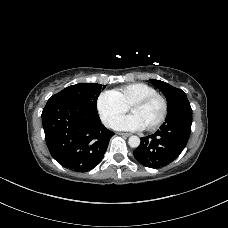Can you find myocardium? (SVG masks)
Masks as SVG:
<instances>
[{"mask_svg":"<svg viewBox=\"0 0 228 228\" xmlns=\"http://www.w3.org/2000/svg\"><path fill=\"white\" fill-rule=\"evenodd\" d=\"M155 99H158V100L161 101V103H162V112H161L159 118L157 119V121L154 124H152L151 126L145 128L146 131H154V130L158 129L162 125L164 120L166 119V116L168 114V108H169L168 100L166 99V97L163 96L162 94L155 93V94L144 96V97L136 100L135 102H133L129 106V111L131 112V110L133 108L144 106V105L150 103L151 101H153Z\"/></svg>","mask_w":228,"mask_h":228,"instance_id":"f54148a6","label":"myocardium"}]
</instances>
